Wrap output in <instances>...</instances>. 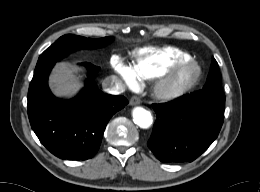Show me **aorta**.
Listing matches in <instances>:
<instances>
[{"mask_svg": "<svg viewBox=\"0 0 260 192\" xmlns=\"http://www.w3.org/2000/svg\"><path fill=\"white\" fill-rule=\"evenodd\" d=\"M132 116L134 123L143 129L149 128L153 121L151 113L143 107H135Z\"/></svg>", "mask_w": 260, "mask_h": 192, "instance_id": "1", "label": "aorta"}]
</instances>
